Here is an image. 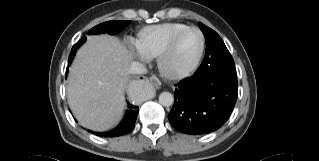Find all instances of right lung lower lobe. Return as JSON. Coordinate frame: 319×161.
<instances>
[{"label": "right lung lower lobe", "instance_id": "98d812e1", "mask_svg": "<svg viewBox=\"0 0 319 161\" xmlns=\"http://www.w3.org/2000/svg\"><path fill=\"white\" fill-rule=\"evenodd\" d=\"M128 107H129V110L125 118L116 128L105 133H95V134L99 136H104V137H116V136H121V135H125L129 133L135 125L139 110L137 106H133L131 104H129Z\"/></svg>", "mask_w": 319, "mask_h": 161}]
</instances>
